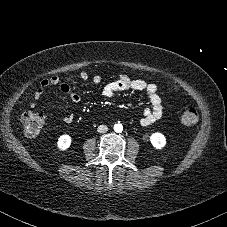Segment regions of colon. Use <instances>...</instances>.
<instances>
[{
	"label": "colon",
	"mask_w": 227,
	"mask_h": 227,
	"mask_svg": "<svg viewBox=\"0 0 227 227\" xmlns=\"http://www.w3.org/2000/svg\"><path fill=\"white\" fill-rule=\"evenodd\" d=\"M180 124L184 127L194 126L198 121V111L193 104H187L183 107L180 117ZM45 122L43 114L35 111H29L22 115L20 124L28 136H36L41 131Z\"/></svg>",
	"instance_id": "1"
}]
</instances>
